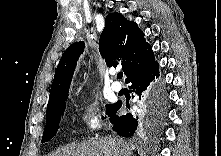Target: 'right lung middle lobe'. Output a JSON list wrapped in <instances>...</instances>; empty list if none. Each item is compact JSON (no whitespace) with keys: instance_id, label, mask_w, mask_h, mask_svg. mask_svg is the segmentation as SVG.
I'll return each instance as SVG.
<instances>
[{"instance_id":"right-lung-middle-lobe-1","label":"right lung middle lobe","mask_w":221,"mask_h":156,"mask_svg":"<svg viewBox=\"0 0 221 156\" xmlns=\"http://www.w3.org/2000/svg\"><path fill=\"white\" fill-rule=\"evenodd\" d=\"M67 97H68V94L61 97L59 100H57L51 106L47 107L46 127L44 129L42 143L50 140L53 136L56 135L57 130L59 128V122H60L61 116L64 114V110L66 107L65 101L67 100ZM117 103L108 104L106 106V113L108 116H110L111 113L114 111ZM102 119H104V117H102Z\"/></svg>"}]
</instances>
